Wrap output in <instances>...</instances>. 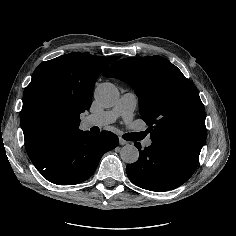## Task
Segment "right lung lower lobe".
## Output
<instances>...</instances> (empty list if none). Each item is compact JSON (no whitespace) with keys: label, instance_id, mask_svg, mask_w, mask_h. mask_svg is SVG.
<instances>
[{"label":"right lung lower lobe","instance_id":"right-lung-lower-lobe-1","mask_svg":"<svg viewBox=\"0 0 236 236\" xmlns=\"http://www.w3.org/2000/svg\"><path fill=\"white\" fill-rule=\"evenodd\" d=\"M118 144V137L110 131H81L57 146L37 169L54 184H78L91 177L103 154Z\"/></svg>","mask_w":236,"mask_h":236}]
</instances>
